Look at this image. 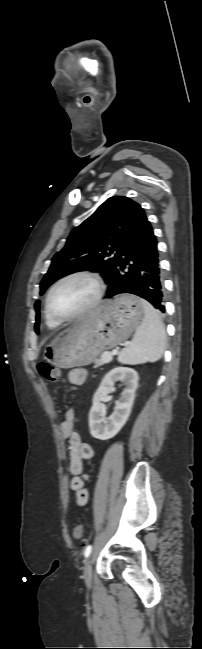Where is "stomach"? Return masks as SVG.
Returning a JSON list of instances; mask_svg holds the SVG:
<instances>
[{"label": "stomach", "mask_w": 202, "mask_h": 649, "mask_svg": "<svg viewBox=\"0 0 202 649\" xmlns=\"http://www.w3.org/2000/svg\"><path fill=\"white\" fill-rule=\"evenodd\" d=\"M143 316L142 300L134 295L105 300L47 344L44 360L58 368L90 364L101 352L125 341Z\"/></svg>", "instance_id": "1"}]
</instances>
